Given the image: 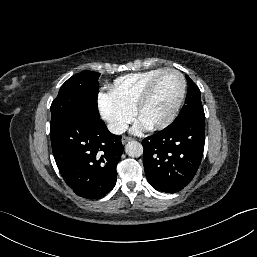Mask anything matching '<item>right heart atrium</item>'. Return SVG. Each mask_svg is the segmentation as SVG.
I'll use <instances>...</instances> for the list:
<instances>
[{
	"label": "right heart atrium",
	"instance_id": "1",
	"mask_svg": "<svg viewBox=\"0 0 257 257\" xmlns=\"http://www.w3.org/2000/svg\"><path fill=\"white\" fill-rule=\"evenodd\" d=\"M99 110L102 118L107 122L110 131L121 134L133 119V110L112 100L108 94H100Z\"/></svg>",
	"mask_w": 257,
	"mask_h": 257
}]
</instances>
